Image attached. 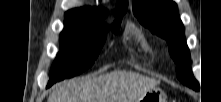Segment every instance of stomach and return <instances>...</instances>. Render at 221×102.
<instances>
[{"label":"stomach","instance_id":"obj_1","mask_svg":"<svg viewBox=\"0 0 221 102\" xmlns=\"http://www.w3.org/2000/svg\"><path fill=\"white\" fill-rule=\"evenodd\" d=\"M135 102H166V94L159 88L147 90Z\"/></svg>","mask_w":221,"mask_h":102}]
</instances>
